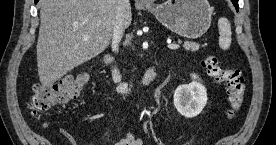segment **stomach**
I'll return each mask as SVG.
<instances>
[{
    "label": "stomach",
    "mask_w": 276,
    "mask_h": 145,
    "mask_svg": "<svg viewBox=\"0 0 276 145\" xmlns=\"http://www.w3.org/2000/svg\"><path fill=\"white\" fill-rule=\"evenodd\" d=\"M148 10L165 27L190 39L201 37L211 25L212 10L207 0H167Z\"/></svg>",
    "instance_id": "0dacf381"
}]
</instances>
